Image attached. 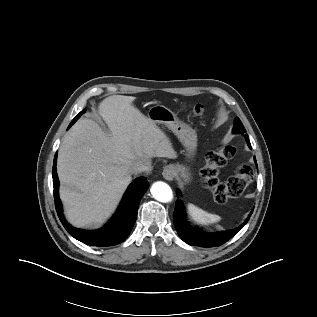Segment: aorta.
Instances as JSON below:
<instances>
[{
  "instance_id": "1",
  "label": "aorta",
  "mask_w": 317,
  "mask_h": 317,
  "mask_svg": "<svg viewBox=\"0 0 317 317\" xmlns=\"http://www.w3.org/2000/svg\"><path fill=\"white\" fill-rule=\"evenodd\" d=\"M150 191L152 196L161 203H169L173 199L172 189L165 182H155Z\"/></svg>"
}]
</instances>
